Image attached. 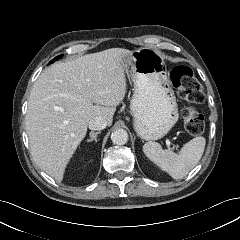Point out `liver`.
I'll return each instance as SVG.
<instances>
[{"label":"liver","mask_w":240,"mask_h":240,"mask_svg":"<svg viewBox=\"0 0 240 240\" xmlns=\"http://www.w3.org/2000/svg\"><path fill=\"white\" fill-rule=\"evenodd\" d=\"M132 51L111 48L45 69L33 85L25 123L30 150L41 170L56 181L87 134L90 120L108 126L125 97L123 57Z\"/></svg>","instance_id":"6515ba94"}]
</instances>
